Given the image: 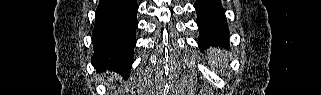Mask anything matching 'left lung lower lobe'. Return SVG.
Here are the masks:
<instances>
[{"label":"left lung lower lobe","instance_id":"obj_1","mask_svg":"<svg viewBox=\"0 0 321 95\" xmlns=\"http://www.w3.org/2000/svg\"><path fill=\"white\" fill-rule=\"evenodd\" d=\"M197 25L200 31L198 46L202 50L210 46L227 45L228 27L220 0H197Z\"/></svg>","mask_w":321,"mask_h":95}]
</instances>
